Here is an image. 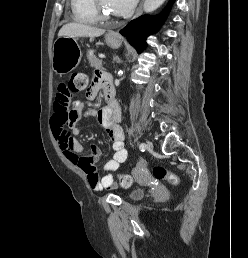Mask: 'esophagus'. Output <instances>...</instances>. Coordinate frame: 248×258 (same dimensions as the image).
I'll return each mask as SVG.
<instances>
[{
  "label": "esophagus",
  "instance_id": "obj_1",
  "mask_svg": "<svg viewBox=\"0 0 248 258\" xmlns=\"http://www.w3.org/2000/svg\"><path fill=\"white\" fill-rule=\"evenodd\" d=\"M143 2H144V0H141L140 4H139V6H138V8L136 10V13L134 15V18H137L141 14L142 7H143Z\"/></svg>",
  "mask_w": 248,
  "mask_h": 258
}]
</instances>
